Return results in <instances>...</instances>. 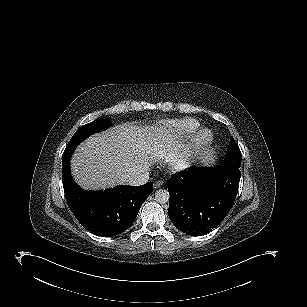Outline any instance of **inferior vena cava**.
<instances>
[{
  "label": "inferior vena cava",
  "instance_id": "602c4592",
  "mask_svg": "<svg viewBox=\"0 0 307 307\" xmlns=\"http://www.w3.org/2000/svg\"><path fill=\"white\" fill-rule=\"evenodd\" d=\"M149 181V172L142 171L138 174L132 175L128 180V185L139 186L146 184Z\"/></svg>",
  "mask_w": 307,
  "mask_h": 307
}]
</instances>
